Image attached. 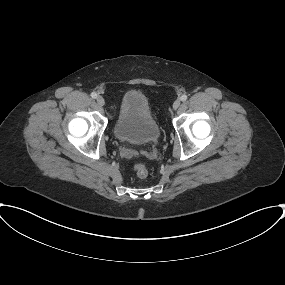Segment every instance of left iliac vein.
Segmentation results:
<instances>
[{
  "instance_id": "left-iliac-vein-1",
  "label": "left iliac vein",
  "mask_w": 285,
  "mask_h": 285,
  "mask_svg": "<svg viewBox=\"0 0 285 285\" xmlns=\"http://www.w3.org/2000/svg\"><path fill=\"white\" fill-rule=\"evenodd\" d=\"M180 104H181V101L179 99L175 100L173 103V109L177 110L179 108Z\"/></svg>"
}]
</instances>
